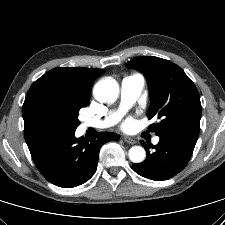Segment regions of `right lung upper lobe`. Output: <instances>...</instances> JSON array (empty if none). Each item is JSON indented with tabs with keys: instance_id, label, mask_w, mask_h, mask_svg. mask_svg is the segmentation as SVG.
Returning a JSON list of instances; mask_svg holds the SVG:
<instances>
[{
	"instance_id": "cb5924a9",
	"label": "right lung upper lobe",
	"mask_w": 225,
	"mask_h": 225,
	"mask_svg": "<svg viewBox=\"0 0 225 225\" xmlns=\"http://www.w3.org/2000/svg\"><path fill=\"white\" fill-rule=\"evenodd\" d=\"M103 72V69L97 68L62 67L54 68L41 76L31 85L23 104L24 133L35 127L28 122L25 110L36 93L44 89H66L89 94L93 81Z\"/></svg>"
}]
</instances>
